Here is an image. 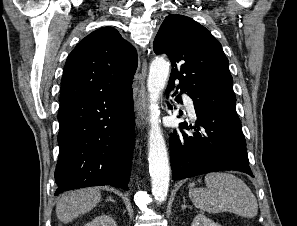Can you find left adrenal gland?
Masks as SVG:
<instances>
[{
	"label": "left adrenal gland",
	"mask_w": 297,
	"mask_h": 226,
	"mask_svg": "<svg viewBox=\"0 0 297 226\" xmlns=\"http://www.w3.org/2000/svg\"><path fill=\"white\" fill-rule=\"evenodd\" d=\"M187 207H189V206L186 205V199H185V197H183V205H182L181 209L184 210Z\"/></svg>",
	"instance_id": "left-adrenal-gland-1"
}]
</instances>
